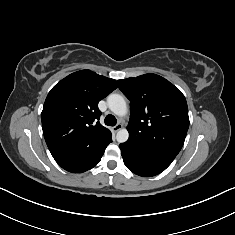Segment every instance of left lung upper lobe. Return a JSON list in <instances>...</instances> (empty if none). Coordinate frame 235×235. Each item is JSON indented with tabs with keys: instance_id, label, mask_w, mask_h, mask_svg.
Wrapping results in <instances>:
<instances>
[{
	"instance_id": "obj_1",
	"label": "left lung upper lobe",
	"mask_w": 235,
	"mask_h": 235,
	"mask_svg": "<svg viewBox=\"0 0 235 235\" xmlns=\"http://www.w3.org/2000/svg\"><path fill=\"white\" fill-rule=\"evenodd\" d=\"M118 85L130 100L128 141L174 159L189 127L182 92L165 78L151 73L118 80Z\"/></svg>"
}]
</instances>
